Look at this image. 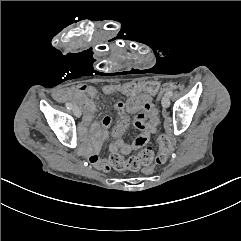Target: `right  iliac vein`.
I'll return each instance as SVG.
<instances>
[{"instance_id":"obj_1","label":"right iliac vein","mask_w":241,"mask_h":241,"mask_svg":"<svg viewBox=\"0 0 241 241\" xmlns=\"http://www.w3.org/2000/svg\"><path fill=\"white\" fill-rule=\"evenodd\" d=\"M73 113H74V115H75L77 118H79V117L81 116V110H80V108L75 105V106L73 107Z\"/></svg>"}]
</instances>
